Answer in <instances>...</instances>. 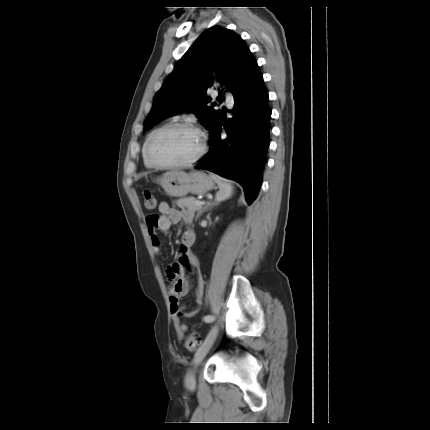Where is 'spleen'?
<instances>
[{"instance_id":"1","label":"spleen","mask_w":430,"mask_h":430,"mask_svg":"<svg viewBox=\"0 0 430 430\" xmlns=\"http://www.w3.org/2000/svg\"><path fill=\"white\" fill-rule=\"evenodd\" d=\"M210 177L218 184L219 191L216 193L215 200L221 202L232 196L233 186L226 178H223L214 173H210Z\"/></svg>"}]
</instances>
